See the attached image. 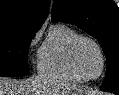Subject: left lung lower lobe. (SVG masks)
Instances as JSON below:
<instances>
[{
    "label": "left lung lower lobe",
    "mask_w": 119,
    "mask_h": 95,
    "mask_svg": "<svg viewBox=\"0 0 119 95\" xmlns=\"http://www.w3.org/2000/svg\"><path fill=\"white\" fill-rule=\"evenodd\" d=\"M103 91H108V90H103ZM108 92H113V93L119 95V90H113V91H108Z\"/></svg>",
    "instance_id": "obj_1"
}]
</instances>
